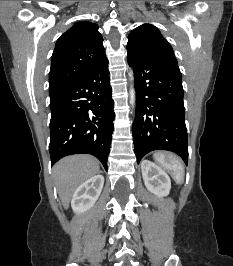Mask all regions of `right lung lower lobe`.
<instances>
[{
	"instance_id": "1",
	"label": "right lung lower lobe",
	"mask_w": 233,
	"mask_h": 266,
	"mask_svg": "<svg viewBox=\"0 0 233 266\" xmlns=\"http://www.w3.org/2000/svg\"><path fill=\"white\" fill-rule=\"evenodd\" d=\"M104 60L66 86L50 92L51 164L71 154L97 157L107 170L113 121V99Z\"/></svg>"
}]
</instances>
